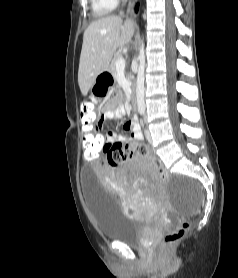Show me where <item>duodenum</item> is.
I'll use <instances>...</instances> for the list:
<instances>
[{
    "label": "duodenum",
    "mask_w": 238,
    "mask_h": 278,
    "mask_svg": "<svg viewBox=\"0 0 238 278\" xmlns=\"http://www.w3.org/2000/svg\"><path fill=\"white\" fill-rule=\"evenodd\" d=\"M131 104H132V107L134 109H136L137 107V101H136V95L135 94H132V97H131Z\"/></svg>",
    "instance_id": "duodenum-1"
}]
</instances>
